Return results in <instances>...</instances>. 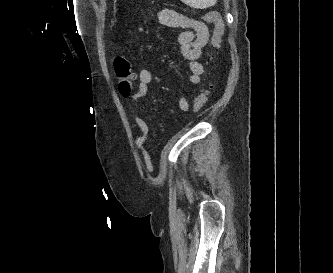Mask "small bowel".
I'll return each mask as SVG.
<instances>
[{
    "mask_svg": "<svg viewBox=\"0 0 333 273\" xmlns=\"http://www.w3.org/2000/svg\"><path fill=\"white\" fill-rule=\"evenodd\" d=\"M156 17L161 25L183 30V32L176 37L175 41L183 57L188 62L190 82L198 84L204 73V66L198 59L209 38L207 25L199 19L173 9H159L156 11ZM138 80L139 84L137 90L128 97L130 104L129 110L135 124L140 130V135L135 141L136 147L143 158L146 169L151 171L153 169V162L144 146L148 138L149 126L135 108V103L152 91L151 82L153 80V74L151 70L146 67L141 68L138 73ZM178 106L181 111L187 112L191 109V102L186 97L181 96L178 99Z\"/></svg>",
    "mask_w": 333,
    "mask_h": 273,
    "instance_id": "1",
    "label": "small bowel"
}]
</instances>
